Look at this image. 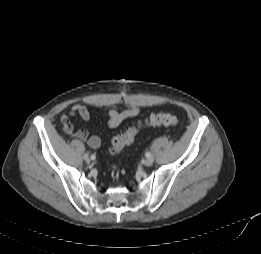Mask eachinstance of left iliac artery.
<instances>
[{
    "label": "left iliac artery",
    "instance_id": "left-iliac-artery-1",
    "mask_svg": "<svg viewBox=\"0 0 261 254\" xmlns=\"http://www.w3.org/2000/svg\"><path fill=\"white\" fill-rule=\"evenodd\" d=\"M145 156H146V158H149V157H151L152 155H151L150 152H147V153L145 154Z\"/></svg>",
    "mask_w": 261,
    "mask_h": 254
}]
</instances>
